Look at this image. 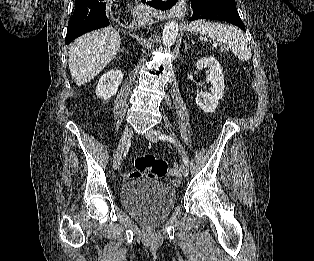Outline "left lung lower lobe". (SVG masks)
Returning <instances> with one entry per match:
<instances>
[{"label":"left lung lower lobe","instance_id":"1","mask_svg":"<svg viewBox=\"0 0 314 261\" xmlns=\"http://www.w3.org/2000/svg\"><path fill=\"white\" fill-rule=\"evenodd\" d=\"M191 7L193 15L190 21L197 19L221 20L234 24L245 31L234 0H191Z\"/></svg>","mask_w":314,"mask_h":261}]
</instances>
